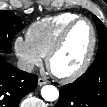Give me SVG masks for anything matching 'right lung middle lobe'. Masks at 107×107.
Returning a JSON list of instances; mask_svg holds the SVG:
<instances>
[{
    "label": "right lung middle lobe",
    "instance_id": "dd1d6c3e",
    "mask_svg": "<svg viewBox=\"0 0 107 107\" xmlns=\"http://www.w3.org/2000/svg\"><path fill=\"white\" fill-rule=\"evenodd\" d=\"M25 27L22 20L11 11H0V52L11 53L12 40Z\"/></svg>",
    "mask_w": 107,
    "mask_h": 107
}]
</instances>
